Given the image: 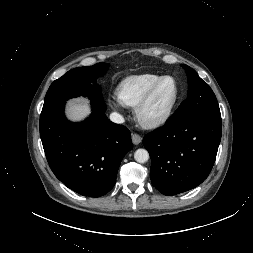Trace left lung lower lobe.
Wrapping results in <instances>:
<instances>
[{"label":"left lung lower lobe","mask_w":253,"mask_h":253,"mask_svg":"<svg viewBox=\"0 0 253 253\" xmlns=\"http://www.w3.org/2000/svg\"><path fill=\"white\" fill-rule=\"evenodd\" d=\"M221 132V117L198 115L167 122L146 135L143 144L152 160V185L168 196L200 185L215 162Z\"/></svg>","instance_id":"obj_1"}]
</instances>
